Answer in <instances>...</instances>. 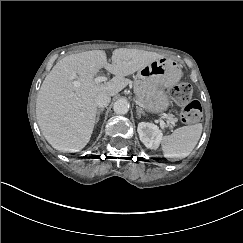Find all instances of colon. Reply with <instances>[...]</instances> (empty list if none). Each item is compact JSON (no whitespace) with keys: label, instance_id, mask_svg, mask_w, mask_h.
<instances>
[{"label":"colon","instance_id":"obj_1","mask_svg":"<svg viewBox=\"0 0 243 243\" xmlns=\"http://www.w3.org/2000/svg\"><path fill=\"white\" fill-rule=\"evenodd\" d=\"M174 101L182 106L181 121L184 123H195L201 119L202 108L197 100H192V87L187 82H182L172 89Z\"/></svg>","mask_w":243,"mask_h":243}]
</instances>
